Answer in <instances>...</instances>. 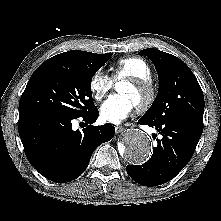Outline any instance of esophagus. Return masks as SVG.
Wrapping results in <instances>:
<instances>
[{
    "label": "esophagus",
    "mask_w": 221,
    "mask_h": 221,
    "mask_svg": "<svg viewBox=\"0 0 221 221\" xmlns=\"http://www.w3.org/2000/svg\"><path fill=\"white\" fill-rule=\"evenodd\" d=\"M115 130H116V133H121L124 131V127L123 126H116Z\"/></svg>",
    "instance_id": "1"
}]
</instances>
